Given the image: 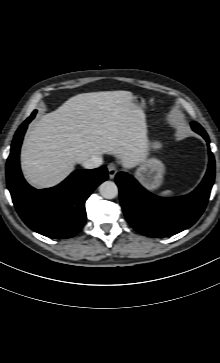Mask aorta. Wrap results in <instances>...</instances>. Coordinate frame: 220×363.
<instances>
[{"mask_svg":"<svg viewBox=\"0 0 220 363\" xmlns=\"http://www.w3.org/2000/svg\"><path fill=\"white\" fill-rule=\"evenodd\" d=\"M99 192L105 199H113L118 195V187L112 181H105L99 186Z\"/></svg>","mask_w":220,"mask_h":363,"instance_id":"obj_1","label":"aorta"}]
</instances>
